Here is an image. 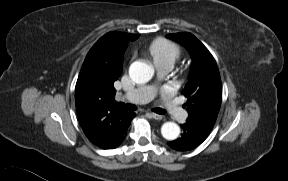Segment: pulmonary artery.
Returning a JSON list of instances; mask_svg holds the SVG:
<instances>
[{
	"mask_svg": "<svg viewBox=\"0 0 288 181\" xmlns=\"http://www.w3.org/2000/svg\"><path fill=\"white\" fill-rule=\"evenodd\" d=\"M172 67L173 65L169 62L155 63L157 78L149 85L128 91L125 94V97L133 103H145L152 100L161 87L159 77L170 72ZM161 106L175 120H183L186 118V112L178 105L174 99H164Z\"/></svg>",
	"mask_w": 288,
	"mask_h": 181,
	"instance_id": "pulmonary-artery-1",
	"label": "pulmonary artery"
}]
</instances>
